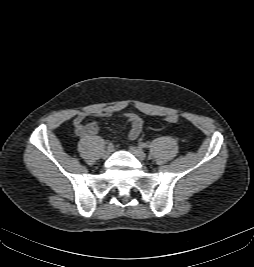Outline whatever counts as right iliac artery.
I'll return each instance as SVG.
<instances>
[{"instance_id":"obj_1","label":"right iliac artery","mask_w":254,"mask_h":267,"mask_svg":"<svg viewBox=\"0 0 254 267\" xmlns=\"http://www.w3.org/2000/svg\"><path fill=\"white\" fill-rule=\"evenodd\" d=\"M113 147H114V146H113L112 143H109L108 146H107V148H113Z\"/></svg>"}]
</instances>
